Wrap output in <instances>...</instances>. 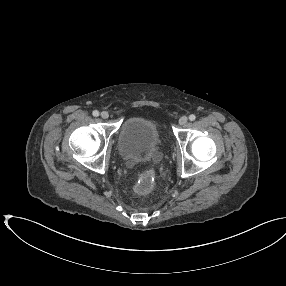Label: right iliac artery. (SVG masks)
<instances>
[{"label": "right iliac artery", "mask_w": 286, "mask_h": 286, "mask_svg": "<svg viewBox=\"0 0 286 286\" xmlns=\"http://www.w3.org/2000/svg\"><path fill=\"white\" fill-rule=\"evenodd\" d=\"M92 114H93V116H95V117L99 116V112H98L97 110H94Z\"/></svg>", "instance_id": "right-iliac-artery-1"}]
</instances>
